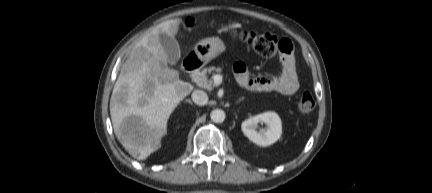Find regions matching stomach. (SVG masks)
<instances>
[{
  "mask_svg": "<svg viewBox=\"0 0 432 193\" xmlns=\"http://www.w3.org/2000/svg\"><path fill=\"white\" fill-rule=\"evenodd\" d=\"M231 34L235 38L238 36L236 29H232ZM224 50V43L216 37L203 39L199 41L194 47L196 56L204 63H208Z\"/></svg>",
  "mask_w": 432,
  "mask_h": 193,
  "instance_id": "0dacf381",
  "label": "stomach"
}]
</instances>
